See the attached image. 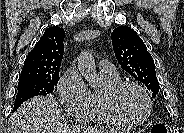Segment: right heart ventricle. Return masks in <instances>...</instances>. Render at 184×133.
<instances>
[{
    "label": "right heart ventricle",
    "instance_id": "1",
    "mask_svg": "<svg viewBox=\"0 0 184 133\" xmlns=\"http://www.w3.org/2000/svg\"><path fill=\"white\" fill-rule=\"evenodd\" d=\"M100 75L103 80V87L92 92V112L88 121H92L97 124H116L105 109L103 103V92L107 87L122 80L118 73L100 70Z\"/></svg>",
    "mask_w": 184,
    "mask_h": 133
}]
</instances>
